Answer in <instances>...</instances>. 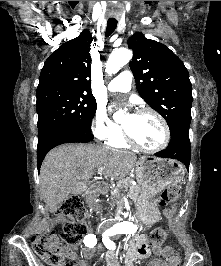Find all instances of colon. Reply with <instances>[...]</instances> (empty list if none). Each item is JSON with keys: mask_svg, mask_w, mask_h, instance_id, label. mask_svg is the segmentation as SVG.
I'll return each mask as SVG.
<instances>
[{"mask_svg": "<svg viewBox=\"0 0 221 266\" xmlns=\"http://www.w3.org/2000/svg\"><path fill=\"white\" fill-rule=\"evenodd\" d=\"M181 195L178 186L171 185L165 189L157 199V204L166 207L175 203ZM57 215L68 219L62 227L59 235L55 233L35 234L32 237V246L35 253L50 266H61L64 262L62 243L77 245L88 232L86 223V209L78 198L65 200ZM167 240V234L163 229H154L149 235V243L153 248L160 247ZM180 256L173 249L169 253L168 266H179ZM67 266H74L70 263Z\"/></svg>", "mask_w": 221, "mask_h": 266, "instance_id": "obj_1", "label": "colon"}]
</instances>
